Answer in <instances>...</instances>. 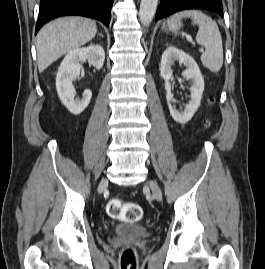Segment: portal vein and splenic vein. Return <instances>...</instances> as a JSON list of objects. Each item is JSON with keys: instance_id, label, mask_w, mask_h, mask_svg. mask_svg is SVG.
<instances>
[{"instance_id": "1", "label": "portal vein and splenic vein", "mask_w": 265, "mask_h": 269, "mask_svg": "<svg viewBox=\"0 0 265 269\" xmlns=\"http://www.w3.org/2000/svg\"><path fill=\"white\" fill-rule=\"evenodd\" d=\"M190 42H192V39H189ZM193 43V42H192ZM201 51H203V48H201Z\"/></svg>"}]
</instances>
